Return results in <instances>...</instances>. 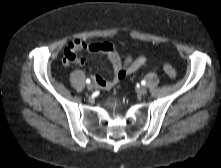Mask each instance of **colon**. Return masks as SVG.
<instances>
[{
    "label": "colon",
    "instance_id": "1",
    "mask_svg": "<svg viewBox=\"0 0 221 168\" xmlns=\"http://www.w3.org/2000/svg\"><path fill=\"white\" fill-rule=\"evenodd\" d=\"M163 68H164V71H165V73L167 74V76L169 78H171V79H175L176 78L177 73H176L175 69L171 65L165 64Z\"/></svg>",
    "mask_w": 221,
    "mask_h": 168
}]
</instances>
